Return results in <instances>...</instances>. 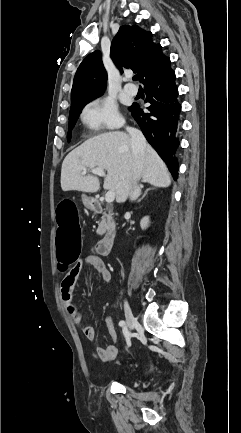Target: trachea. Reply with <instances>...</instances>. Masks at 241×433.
I'll return each instance as SVG.
<instances>
[{
	"label": "trachea",
	"mask_w": 241,
	"mask_h": 433,
	"mask_svg": "<svg viewBox=\"0 0 241 433\" xmlns=\"http://www.w3.org/2000/svg\"><path fill=\"white\" fill-rule=\"evenodd\" d=\"M133 79H134L135 81H137V80H138V75H135V76L133 77Z\"/></svg>",
	"instance_id": "1"
}]
</instances>
